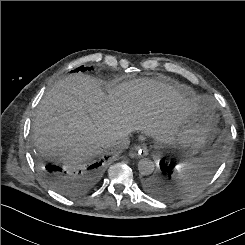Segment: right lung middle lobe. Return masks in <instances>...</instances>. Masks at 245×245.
I'll list each match as a JSON object with an SVG mask.
<instances>
[{"instance_id":"1","label":"right lung middle lobe","mask_w":245,"mask_h":245,"mask_svg":"<svg viewBox=\"0 0 245 245\" xmlns=\"http://www.w3.org/2000/svg\"><path fill=\"white\" fill-rule=\"evenodd\" d=\"M86 70H91V68L89 69L88 67H83V66H81V67H79V68H77L76 70H75V72H78V71H86ZM84 168V167H83ZM82 168V169H83ZM102 168H103V166H102ZM82 169H80V170H82Z\"/></svg>"}]
</instances>
